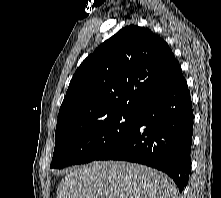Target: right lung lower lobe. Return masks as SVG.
<instances>
[{"label":"right lung lower lobe","mask_w":221,"mask_h":198,"mask_svg":"<svg viewBox=\"0 0 221 198\" xmlns=\"http://www.w3.org/2000/svg\"><path fill=\"white\" fill-rule=\"evenodd\" d=\"M193 135L192 102L184 77L153 98L134 127L95 160L141 163L167 173L180 192L189 179Z\"/></svg>","instance_id":"right-lung-lower-lobe-1"}]
</instances>
